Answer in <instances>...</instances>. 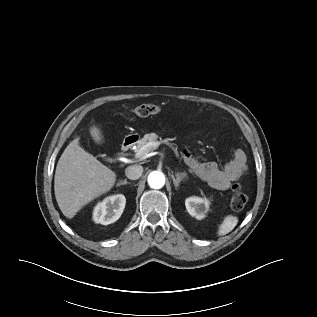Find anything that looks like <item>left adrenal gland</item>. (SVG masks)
Instances as JSON below:
<instances>
[{
  "label": "left adrenal gland",
  "mask_w": 317,
  "mask_h": 317,
  "mask_svg": "<svg viewBox=\"0 0 317 317\" xmlns=\"http://www.w3.org/2000/svg\"><path fill=\"white\" fill-rule=\"evenodd\" d=\"M175 189L179 187V183L186 177V173H176V178L171 175Z\"/></svg>",
  "instance_id": "obj_1"
}]
</instances>
